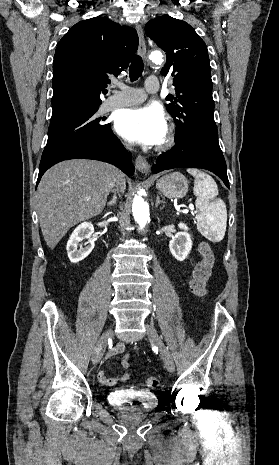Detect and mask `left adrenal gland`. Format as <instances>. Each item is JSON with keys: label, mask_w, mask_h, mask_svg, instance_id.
<instances>
[{"label": "left adrenal gland", "mask_w": 279, "mask_h": 465, "mask_svg": "<svg viewBox=\"0 0 279 465\" xmlns=\"http://www.w3.org/2000/svg\"><path fill=\"white\" fill-rule=\"evenodd\" d=\"M160 204H165L163 200H160V196L157 194L155 207L158 208Z\"/></svg>", "instance_id": "a2214340"}]
</instances>
